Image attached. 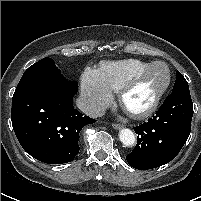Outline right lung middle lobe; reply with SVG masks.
Wrapping results in <instances>:
<instances>
[{"mask_svg": "<svg viewBox=\"0 0 201 201\" xmlns=\"http://www.w3.org/2000/svg\"><path fill=\"white\" fill-rule=\"evenodd\" d=\"M36 67H44V68H52V69L57 68L54 64V61L49 57H45V58L41 59L40 61L36 62L29 68H36Z\"/></svg>", "mask_w": 201, "mask_h": 201, "instance_id": "1", "label": "right lung middle lobe"}]
</instances>
